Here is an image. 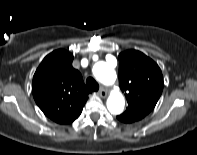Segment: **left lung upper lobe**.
I'll return each mask as SVG.
<instances>
[{
	"mask_svg": "<svg viewBox=\"0 0 197 155\" xmlns=\"http://www.w3.org/2000/svg\"><path fill=\"white\" fill-rule=\"evenodd\" d=\"M159 66L145 54L128 50L119 55V86L128 108L119 119L125 123L141 120L155 107L163 90Z\"/></svg>",
	"mask_w": 197,
	"mask_h": 155,
	"instance_id": "obj_1",
	"label": "left lung upper lobe"
}]
</instances>
